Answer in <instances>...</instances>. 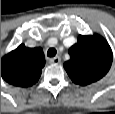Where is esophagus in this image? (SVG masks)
Masks as SVG:
<instances>
[{"mask_svg": "<svg viewBox=\"0 0 115 114\" xmlns=\"http://www.w3.org/2000/svg\"><path fill=\"white\" fill-rule=\"evenodd\" d=\"M49 62H50L51 64H60L61 58H60L59 56H56V57H54V58H51V59L49 60Z\"/></svg>", "mask_w": 115, "mask_h": 114, "instance_id": "34e87169", "label": "esophagus"}]
</instances>
